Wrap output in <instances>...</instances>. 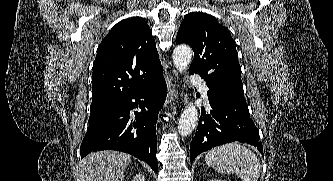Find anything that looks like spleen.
Returning a JSON list of instances; mask_svg holds the SVG:
<instances>
[{
  "label": "spleen",
  "instance_id": "1",
  "mask_svg": "<svg viewBox=\"0 0 333 181\" xmlns=\"http://www.w3.org/2000/svg\"><path fill=\"white\" fill-rule=\"evenodd\" d=\"M205 162L219 173H236L242 181H258L261 173L255 153L238 143L213 148L206 154Z\"/></svg>",
  "mask_w": 333,
  "mask_h": 181
}]
</instances>
